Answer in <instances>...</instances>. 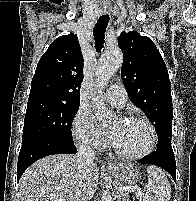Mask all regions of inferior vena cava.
<instances>
[{"label": "inferior vena cava", "instance_id": "obj_1", "mask_svg": "<svg viewBox=\"0 0 196 201\" xmlns=\"http://www.w3.org/2000/svg\"><path fill=\"white\" fill-rule=\"evenodd\" d=\"M95 151L86 142L81 144L78 148L77 160L81 163H91L94 161Z\"/></svg>", "mask_w": 196, "mask_h": 201}]
</instances>
